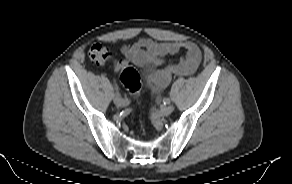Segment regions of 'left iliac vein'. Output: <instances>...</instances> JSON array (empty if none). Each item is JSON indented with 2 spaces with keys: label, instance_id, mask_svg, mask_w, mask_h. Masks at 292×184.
Returning a JSON list of instances; mask_svg holds the SVG:
<instances>
[{
  "label": "left iliac vein",
  "instance_id": "4c4485c4",
  "mask_svg": "<svg viewBox=\"0 0 292 184\" xmlns=\"http://www.w3.org/2000/svg\"><path fill=\"white\" fill-rule=\"evenodd\" d=\"M173 110H174V107L172 105L165 106L161 110V115L167 117L173 112Z\"/></svg>",
  "mask_w": 292,
  "mask_h": 184
}]
</instances>
